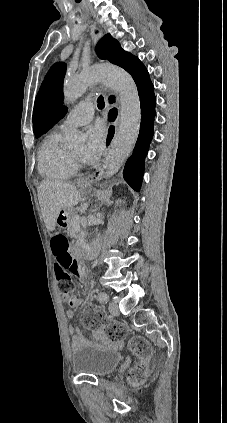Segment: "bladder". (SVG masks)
I'll return each mask as SVG.
<instances>
[{
  "label": "bladder",
  "mask_w": 227,
  "mask_h": 423,
  "mask_svg": "<svg viewBox=\"0 0 227 423\" xmlns=\"http://www.w3.org/2000/svg\"><path fill=\"white\" fill-rule=\"evenodd\" d=\"M123 362L120 352L87 343L72 355V371L104 379Z\"/></svg>",
  "instance_id": "31cf9c89"
}]
</instances>
